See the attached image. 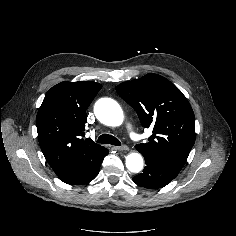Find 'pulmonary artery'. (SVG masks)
<instances>
[{
  "label": "pulmonary artery",
  "instance_id": "obj_1",
  "mask_svg": "<svg viewBox=\"0 0 236 236\" xmlns=\"http://www.w3.org/2000/svg\"><path fill=\"white\" fill-rule=\"evenodd\" d=\"M130 136H131V138L132 139H134V140H137L138 139V136L134 133V132H130Z\"/></svg>",
  "mask_w": 236,
  "mask_h": 236
}]
</instances>
